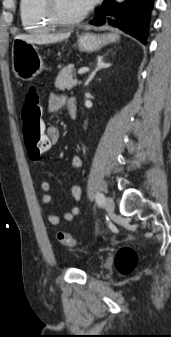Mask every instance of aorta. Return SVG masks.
<instances>
[{
	"label": "aorta",
	"mask_w": 171,
	"mask_h": 337,
	"mask_svg": "<svg viewBox=\"0 0 171 337\" xmlns=\"http://www.w3.org/2000/svg\"><path fill=\"white\" fill-rule=\"evenodd\" d=\"M117 2H119V3H121V2H123L124 0H116Z\"/></svg>",
	"instance_id": "obj_1"
}]
</instances>
